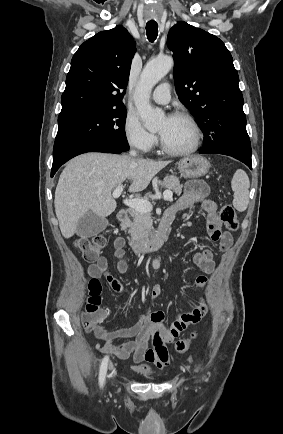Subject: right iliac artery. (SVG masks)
Instances as JSON below:
<instances>
[{
  "instance_id": "obj_1",
  "label": "right iliac artery",
  "mask_w": 283,
  "mask_h": 434,
  "mask_svg": "<svg viewBox=\"0 0 283 434\" xmlns=\"http://www.w3.org/2000/svg\"><path fill=\"white\" fill-rule=\"evenodd\" d=\"M108 361H109V357L105 356L103 358L101 366H100V371H99V384H100V387H102L104 385V382H105Z\"/></svg>"
}]
</instances>
